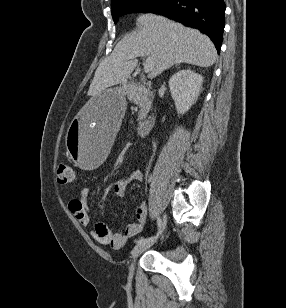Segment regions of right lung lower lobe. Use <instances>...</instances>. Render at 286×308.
<instances>
[{
  "label": "right lung lower lobe",
  "instance_id": "right-lung-lower-lobe-1",
  "mask_svg": "<svg viewBox=\"0 0 286 308\" xmlns=\"http://www.w3.org/2000/svg\"><path fill=\"white\" fill-rule=\"evenodd\" d=\"M154 13L201 30L220 52L225 26L223 0H168Z\"/></svg>",
  "mask_w": 286,
  "mask_h": 308
}]
</instances>
